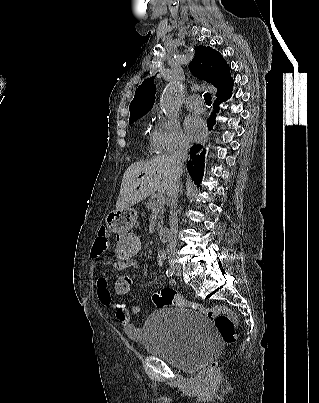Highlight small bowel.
I'll list each match as a JSON object with an SVG mask.
<instances>
[{"mask_svg":"<svg viewBox=\"0 0 319 403\" xmlns=\"http://www.w3.org/2000/svg\"><path fill=\"white\" fill-rule=\"evenodd\" d=\"M109 246L108 231L105 228H100L98 231L97 238L91 249L90 257L92 259H100ZM138 255V254H137ZM165 258V253L161 252L158 256V266L163 265V260ZM138 268V267H137ZM137 268H119V269H137ZM115 282V281H114ZM129 286L132 284V279H129ZM175 282L170 281L169 286H174ZM97 289L100 301L110 309L114 310L115 318L122 326V329L126 336L132 341H140L143 336V331L141 328L136 327L132 320L133 316L137 314L140 309L138 307L127 308L124 304L119 303L115 299L113 292V287L109 285L108 279L104 276L99 277L97 281ZM116 293V291H115ZM117 294V293H116Z\"/></svg>","mask_w":319,"mask_h":403,"instance_id":"c3829d8e","label":"small bowel"}]
</instances>
